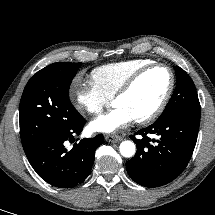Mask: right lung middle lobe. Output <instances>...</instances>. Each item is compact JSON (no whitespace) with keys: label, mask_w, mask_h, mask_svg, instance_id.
Segmentation results:
<instances>
[{"label":"right lung middle lobe","mask_w":215,"mask_h":215,"mask_svg":"<svg viewBox=\"0 0 215 215\" xmlns=\"http://www.w3.org/2000/svg\"><path fill=\"white\" fill-rule=\"evenodd\" d=\"M81 63H53L27 83L20 101V137L24 151L62 130L81 115L69 99V87Z\"/></svg>","instance_id":"obj_1"}]
</instances>
